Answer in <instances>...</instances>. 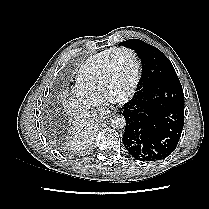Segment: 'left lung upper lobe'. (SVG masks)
<instances>
[{
	"label": "left lung upper lobe",
	"instance_id": "5c2ea615",
	"mask_svg": "<svg viewBox=\"0 0 209 209\" xmlns=\"http://www.w3.org/2000/svg\"><path fill=\"white\" fill-rule=\"evenodd\" d=\"M120 44L135 50L142 59L143 76L138 90L151 88L166 78L177 77L173 65L158 48L139 39H129Z\"/></svg>",
	"mask_w": 209,
	"mask_h": 209
}]
</instances>
